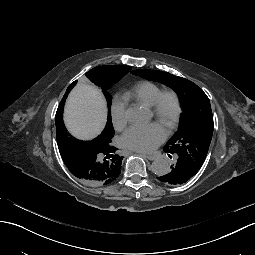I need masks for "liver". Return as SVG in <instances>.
Segmentation results:
<instances>
[{
  "label": "liver",
  "mask_w": 255,
  "mask_h": 255,
  "mask_svg": "<svg viewBox=\"0 0 255 255\" xmlns=\"http://www.w3.org/2000/svg\"><path fill=\"white\" fill-rule=\"evenodd\" d=\"M107 120L106 101L99 89L79 81L68 96L64 121L76 138L90 140L101 133Z\"/></svg>",
  "instance_id": "6515ba94"
}]
</instances>
